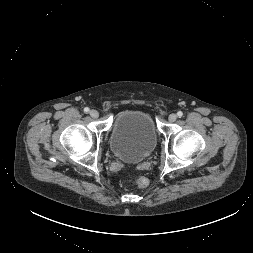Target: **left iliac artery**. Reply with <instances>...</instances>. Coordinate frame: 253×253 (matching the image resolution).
<instances>
[{"instance_id":"left-iliac-artery-1","label":"left iliac artery","mask_w":253,"mask_h":253,"mask_svg":"<svg viewBox=\"0 0 253 253\" xmlns=\"http://www.w3.org/2000/svg\"><path fill=\"white\" fill-rule=\"evenodd\" d=\"M177 115H178V117H182L183 116V112L182 111H178Z\"/></svg>"}]
</instances>
